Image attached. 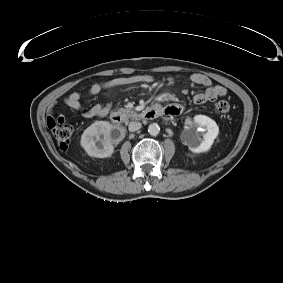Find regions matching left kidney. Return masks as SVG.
<instances>
[{"mask_svg": "<svg viewBox=\"0 0 283 283\" xmlns=\"http://www.w3.org/2000/svg\"><path fill=\"white\" fill-rule=\"evenodd\" d=\"M186 133L187 138L185 142L189 149L194 153H202L211 148L215 138L218 136L219 127L211 118L205 115H196L194 123L188 125Z\"/></svg>", "mask_w": 283, "mask_h": 283, "instance_id": "5707ae66", "label": "left kidney"}]
</instances>
